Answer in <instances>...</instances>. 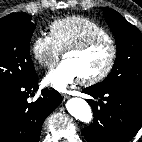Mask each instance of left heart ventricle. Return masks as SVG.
Wrapping results in <instances>:
<instances>
[{"instance_id":"left-heart-ventricle-1","label":"left heart ventricle","mask_w":142,"mask_h":142,"mask_svg":"<svg viewBox=\"0 0 142 142\" xmlns=\"http://www.w3.org/2000/svg\"><path fill=\"white\" fill-rule=\"evenodd\" d=\"M111 48L107 42H99L82 52H73L65 56L76 68L80 77H88L100 72L108 63Z\"/></svg>"}]
</instances>
